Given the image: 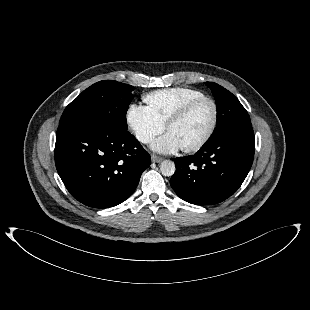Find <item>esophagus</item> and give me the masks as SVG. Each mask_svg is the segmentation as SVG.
Returning <instances> with one entry per match:
<instances>
[{
    "label": "esophagus",
    "mask_w": 310,
    "mask_h": 310,
    "mask_svg": "<svg viewBox=\"0 0 310 310\" xmlns=\"http://www.w3.org/2000/svg\"><path fill=\"white\" fill-rule=\"evenodd\" d=\"M151 160H152V162H154V163H159V162L162 161V158L159 157V156H157V155H155V154H152V155H151Z\"/></svg>",
    "instance_id": "1"
}]
</instances>
